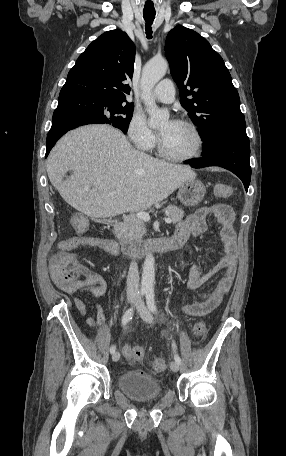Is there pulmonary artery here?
<instances>
[{
  "instance_id": "1",
  "label": "pulmonary artery",
  "mask_w": 286,
  "mask_h": 456,
  "mask_svg": "<svg viewBox=\"0 0 286 456\" xmlns=\"http://www.w3.org/2000/svg\"><path fill=\"white\" fill-rule=\"evenodd\" d=\"M152 94L160 102L171 103L175 99V86L170 79H164L153 89Z\"/></svg>"
}]
</instances>
